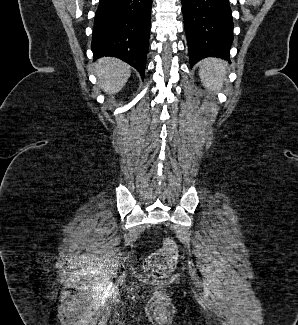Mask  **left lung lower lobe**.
Masks as SVG:
<instances>
[{"label": "left lung lower lobe", "instance_id": "1", "mask_svg": "<svg viewBox=\"0 0 298 325\" xmlns=\"http://www.w3.org/2000/svg\"><path fill=\"white\" fill-rule=\"evenodd\" d=\"M190 64L205 57L229 61L233 20L229 0H181Z\"/></svg>", "mask_w": 298, "mask_h": 325}]
</instances>
